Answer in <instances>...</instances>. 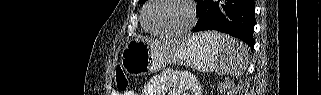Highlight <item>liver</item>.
<instances>
[{"instance_id": "obj_1", "label": "liver", "mask_w": 321, "mask_h": 95, "mask_svg": "<svg viewBox=\"0 0 321 95\" xmlns=\"http://www.w3.org/2000/svg\"><path fill=\"white\" fill-rule=\"evenodd\" d=\"M140 40L144 41L153 48H157L158 50H172L182 43V40H169L166 42L151 40L148 38H140Z\"/></svg>"}]
</instances>
